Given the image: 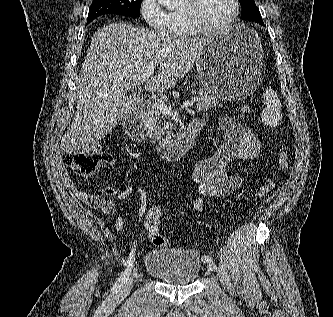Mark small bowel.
<instances>
[{
  "mask_svg": "<svg viewBox=\"0 0 333 317\" xmlns=\"http://www.w3.org/2000/svg\"><path fill=\"white\" fill-rule=\"evenodd\" d=\"M219 124L224 131L223 142L212 157L198 161L193 166L191 180L199 195L193 202V208L197 213L203 212L205 201L226 197L241 187L242 179L227 170L230 161L250 160L260 152L261 140L251 128L232 117L221 118ZM109 164L113 168V162L109 161ZM64 183L73 198L101 210L105 215H115L116 231H121L124 225L118 204H122L131 195H136L139 200L138 221L144 227L148 196L143 188L131 185L119 190L115 185L108 184L100 188L102 195H96L79 190L69 178H65ZM112 196L116 197V201L108 198Z\"/></svg>",
  "mask_w": 333,
  "mask_h": 317,
  "instance_id": "1",
  "label": "small bowel"
}]
</instances>
